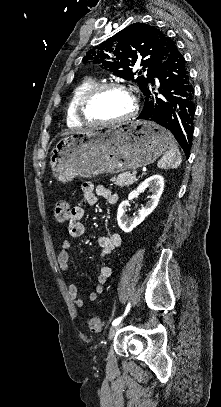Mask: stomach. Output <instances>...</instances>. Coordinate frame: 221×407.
Returning a JSON list of instances; mask_svg holds the SVG:
<instances>
[{"label":"stomach","instance_id":"1","mask_svg":"<svg viewBox=\"0 0 221 407\" xmlns=\"http://www.w3.org/2000/svg\"><path fill=\"white\" fill-rule=\"evenodd\" d=\"M171 139L168 131L151 121L73 132L52 149L51 172L58 181L67 183L78 176L89 178L137 169L158 159Z\"/></svg>","mask_w":221,"mask_h":407}]
</instances>
